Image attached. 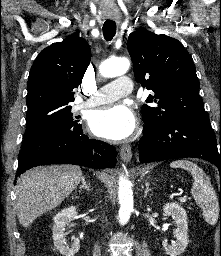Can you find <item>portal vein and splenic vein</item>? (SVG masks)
<instances>
[{"instance_id": "18ae733b", "label": "portal vein and splenic vein", "mask_w": 221, "mask_h": 256, "mask_svg": "<svg viewBox=\"0 0 221 256\" xmlns=\"http://www.w3.org/2000/svg\"><path fill=\"white\" fill-rule=\"evenodd\" d=\"M187 200V197L186 196H183V197H180L179 198V201H181V202H185Z\"/></svg>"}]
</instances>
